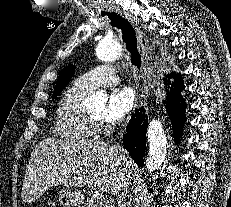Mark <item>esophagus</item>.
I'll use <instances>...</instances> for the list:
<instances>
[{
	"mask_svg": "<svg viewBox=\"0 0 231 207\" xmlns=\"http://www.w3.org/2000/svg\"><path fill=\"white\" fill-rule=\"evenodd\" d=\"M120 15H124L125 18L135 27L138 40H139V48L144 59L145 66H148L152 60V46L148 40L146 34L140 29L135 19L127 14H123L119 12Z\"/></svg>",
	"mask_w": 231,
	"mask_h": 207,
	"instance_id": "obj_1",
	"label": "esophagus"
}]
</instances>
